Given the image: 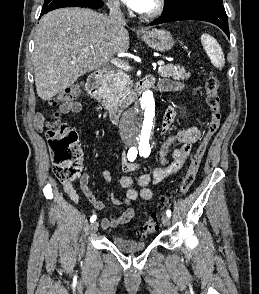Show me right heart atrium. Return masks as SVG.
I'll use <instances>...</instances> for the list:
<instances>
[{
	"instance_id": "right-heart-atrium-1",
	"label": "right heart atrium",
	"mask_w": 259,
	"mask_h": 294,
	"mask_svg": "<svg viewBox=\"0 0 259 294\" xmlns=\"http://www.w3.org/2000/svg\"><path fill=\"white\" fill-rule=\"evenodd\" d=\"M108 6L114 13L121 12V5L117 0H107Z\"/></svg>"
}]
</instances>
